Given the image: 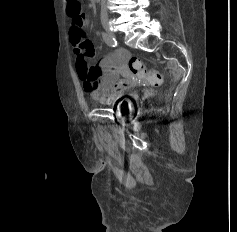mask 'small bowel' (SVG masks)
Here are the masks:
<instances>
[{
    "label": "small bowel",
    "instance_id": "obj_1",
    "mask_svg": "<svg viewBox=\"0 0 237 232\" xmlns=\"http://www.w3.org/2000/svg\"><path fill=\"white\" fill-rule=\"evenodd\" d=\"M87 19L82 14V23L77 24L72 20L69 39L76 56V70L82 81L83 88L92 98L103 104H111L121 99L133 87L132 79H120L128 76L127 59L124 51L110 53L104 56L98 66L91 64L95 56L93 42L84 32Z\"/></svg>",
    "mask_w": 237,
    "mask_h": 232
}]
</instances>
